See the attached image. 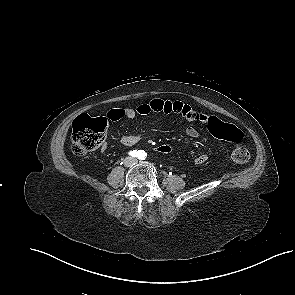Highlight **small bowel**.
<instances>
[{
  "label": "small bowel",
  "instance_id": "obj_1",
  "mask_svg": "<svg viewBox=\"0 0 295 295\" xmlns=\"http://www.w3.org/2000/svg\"><path fill=\"white\" fill-rule=\"evenodd\" d=\"M151 112H163L166 114H178L188 120L189 122H198L207 125L209 131L211 130L212 121H220L217 117L210 116L204 113H200L194 110L190 105L181 101H171L165 99H152L146 103L138 105L136 108H114L107 112V118L111 121H118L121 119H133L136 115H147ZM186 134L190 138H197L199 131L193 127L188 126L186 128ZM213 134V133H212ZM214 135V134H213ZM216 136V135H214ZM217 137V136H216ZM140 140L139 134L126 135L121 138V144L130 147L135 145ZM106 144H103L101 150H106ZM208 160L207 154L198 155L194 162L196 165H202Z\"/></svg>",
  "mask_w": 295,
  "mask_h": 295
}]
</instances>
